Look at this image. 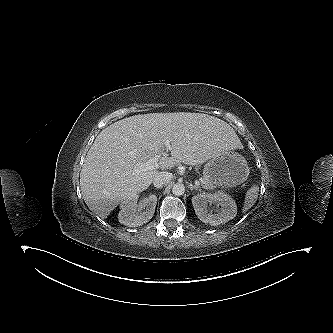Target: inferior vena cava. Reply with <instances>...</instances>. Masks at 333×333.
<instances>
[{
	"mask_svg": "<svg viewBox=\"0 0 333 333\" xmlns=\"http://www.w3.org/2000/svg\"><path fill=\"white\" fill-rule=\"evenodd\" d=\"M172 178V173H169L167 171H161L154 176L153 184L155 187L160 188L163 187L165 184L169 183Z\"/></svg>",
	"mask_w": 333,
	"mask_h": 333,
	"instance_id": "1",
	"label": "inferior vena cava"
}]
</instances>
